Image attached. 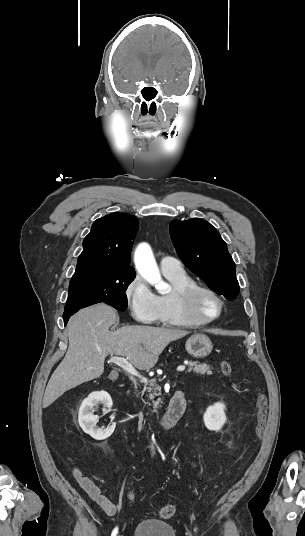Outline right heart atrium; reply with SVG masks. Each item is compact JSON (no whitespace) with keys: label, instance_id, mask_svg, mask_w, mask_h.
Instances as JSON below:
<instances>
[{"label":"right heart atrium","instance_id":"1","mask_svg":"<svg viewBox=\"0 0 305 536\" xmlns=\"http://www.w3.org/2000/svg\"><path fill=\"white\" fill-rule=\"evenodd\" d=\"M126 306L130 315L143 324H154L158 320V296L143 281L135 275L125 290Z\"/></svg>","mask_w":305,"mask_h":536}]
</instances>
